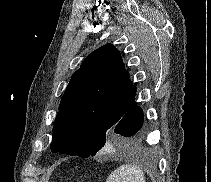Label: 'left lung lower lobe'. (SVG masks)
I'll list each match as a JSON object with an SVG mask.
<instances>
[{
	"instance_id": "obj_1",
	"label": "left lung lower lobe",
	"mask_w": 211,
	"mask_h": 182,
	"mask_svg": "<svg viewBox=\"0 0 211 182\" xmlns=\"http://www.w3.org/2000/svg\"><path fill=\"white\" fill-rule=\"evenodd\" d=\"M143 122V110L134 102L113 128L109 141L119 147L130 144L135 137L144 134Z\"/></svg>"
}]
</instances>
